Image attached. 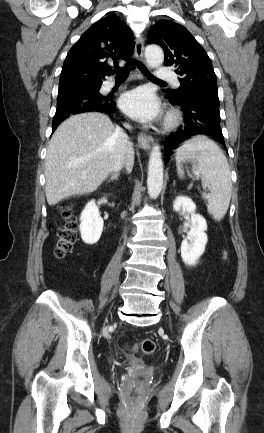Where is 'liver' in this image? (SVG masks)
Returning a JSON list of instances; mask_svg holds the SVG:
<instances>
[{
    "instance_id": "6515ba94",
    "label": "liver",
    "mask_w": 264,
    "mask_h": 433,
    "mask_svg": "<svg viewBox=\"0 0 264 433\" xmlns=\"http://www.w3.org/2000/svg\"><path fill=\"white\" fill-rule=\"evenodd\" d=\"M115 130L108 116L96 112L71 116L56 129L45 160V193L50 206L97 190L114 163ZM133 163L130 142L125 164L128 172Z\"/></svg>"
}]
</instances>
